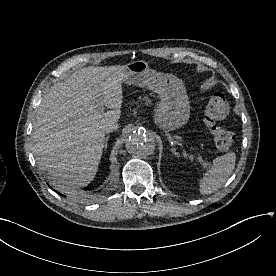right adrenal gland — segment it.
<instances>
[{
  "label": "right adrenal gland",
  "instance_id": "obj_1",
  "mask_svg": "<svg viewBox=\"0 0 276 276\" xmlns=\"http://www.w3.org/2000/svg\"><path fill=\"white\" fill-rule=\"evenodd\" d=\"M108 140H109V136H107V137L105 138L104 150H106V149H107V146H108Z\"/></svg>",
  "mask_w": 276,
  "mask_h": 276
}]
</instances>
